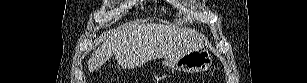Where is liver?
<instances>
[{
    "mask_svg": "<svg viewBox=\"0 0 307 83\" xmlns=\"http://www.w3.org/2000/svg\"><path fill=\"white\" fill-rule=\"evenodd\" d=\"M204 40L198 33H183L167 25L131 23L105 33L103 44L88 61V68L90 71L100 68L113 55L124 68L140 66L154 59L174 58L193 49L194 42L203 45Z\"/></svg>",
    "mask_w": 307,
    "mask_h": 83,
    "instance_id": "6515ba94",
    "label": "liver"
}]
</instances>
